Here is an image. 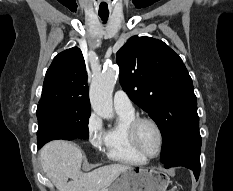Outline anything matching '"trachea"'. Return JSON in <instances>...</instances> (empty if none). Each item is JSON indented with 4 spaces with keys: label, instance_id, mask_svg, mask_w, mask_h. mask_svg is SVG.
Segmentation results:
<instances>
[{
    "label": "trachea",
    "instance_id": "1",
    "mask_svg": "<svg viewBox=\"0 0 233 191\" xmlns=\"http://www.w3.org/2000/svg\"><path fill=\"white\" fill-rule=\"evenodd\" d=\"M102 21L106 22L108 20L109 14H99Z\"/></svg>",
    "mask_w": 233,
    "mask_h": 191
}]
</instances>
